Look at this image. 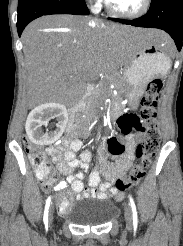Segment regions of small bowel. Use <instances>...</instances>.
Returning a JSON list of instances; mask_svg holds the SVG:
<instances>
[{
  "mask_svg": "<svg viewBox=\"0 0 183 246\" xmlns=\"http://www.w3.org/2000/svg\"><path fill=\"white\" fill-rule=\"evenodd\" d=\"M139 138L140 136L137 134H129L119 138L120 142L125 143L126 147L125 155H120V157L109 155L108 146L105 144L100 145L98 148L97 168L89 175L86 185L82 179L84 178V171L89 169L91 154L88 150H84L79 158L75 157V153L80 151L83 146L80 139L63 140L57 147L48 148V154L58 163L59 172L66 177V181H62L55 186V190H65L67 184H69L76 200L84 198L104 199L108 197V192L116 195L118 190L114 186L109 187L107 182L102 181V177L105 176L110 180H116L124 176L134 160V151ZM62 157L64 161H61ZM76 168L81 169V171L73 174L72 171ZM61 200L67 203V209L61 213H67L72 206L73 200L67 193L61 195Z\"/></svg>",
  "mask_w": 183,
  "mask_h": 246,
  "instance_id": "obj_1",
  "label": "small bowel"
}]
</instances>
